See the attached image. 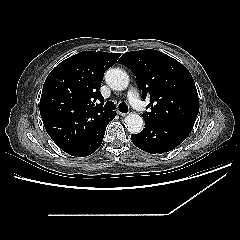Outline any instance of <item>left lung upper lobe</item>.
Masks as SVG:
<instances>
[{
	"mask_svg": "<svg viewBox=\"0 0 240 240\" xmlns=\"http://www.w3.org/2000/svg\"><path fill=\"white\" fill-rule=\"evenodd\" d=\"M120 63L132 69L142 90L150 98L144 120L192 121L199 112V99L192 75L174 58L153 49L125 53Z\"/></svg>",
	"mask_w": 240,
	"mask_h": 240,
	"instance_id": "obj_1",
	"label": "left lung upper lobe"
}]
</instances>
